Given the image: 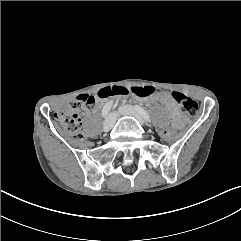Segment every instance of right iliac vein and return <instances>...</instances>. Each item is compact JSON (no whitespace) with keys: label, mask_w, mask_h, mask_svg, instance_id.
I'll use <instances>...</instances> for the list:
<instances>
[{"label":"right iliac vein","mask_w":241,"mask_h":241,"mask_svg":"<svg viewBox=\"0 0 241 241\" xmlns=\"http://www.w3.org/2000/svg\"><path fill=\"white\" fill-rule=\"evenodd\" d=\"M116 115L114 113L110 114L103 123V130L105 132L110 131L115 124Z\"/></svg>","instance_id":"obj_1"}]
</instances>
